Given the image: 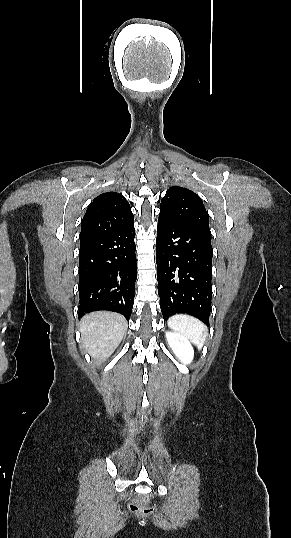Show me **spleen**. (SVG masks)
I'll return each instance as SVG.
<instances>
[{"instance_id": "obj_1", "label": "spleen", "mask_w": 291, "mask_h": 538, "mask_svg": "<svg viewBox=\"0 0 291 538\" xmlns=\"http://www.w3.org/2000/svg\"><path fill=\"white\" fill-rule=\"evenodd\" d=\"M168 326L191 340L199 349L207 336V327L197 318L185 314H176L168 319Z\"/></svg>"}]
</instances>
